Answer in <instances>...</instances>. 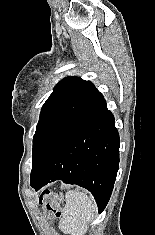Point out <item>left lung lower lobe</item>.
<instances>
[{
    "instance_id": "1",
    "label": "left lung lower lobe",
    "mask_w": 155,
    "mask_h": 235,
    "mask_svg": "<svg viewBox=\"0 0 155 235\" xmlns=\"http://www.w3.org/2000/svg\"><path fill=\"white\" fill-rule=\"evenodd\" d=\"M120 139L112 113L104 98L69 132L49 155L30 184L39 190L62 180L88 189L99 212L106 207L119 167Z\"/></svg>"
}]
</instances>
